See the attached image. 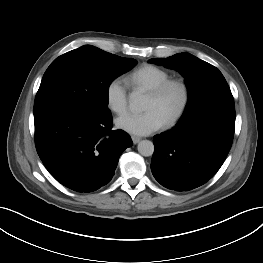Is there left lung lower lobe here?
<instances>
[{
    "instance_id": "left-lung-lower-lobe-1",
    "label": "left lung lower lobe",
    "mask_w": 263,
    "mask_h": 263,
    "mask_svg": "<svg viewBox=\"0 0 263 263\" xmlns=\"http://www.w3.org/2000/svg\"><path fill=\"white\" fill-rule=\"evenodd\" d=\"M234 105H217L153 138L151 170L164 187L189 191L210 180L226 159L234 136Z\"/></svg>"
}]
</instances>
